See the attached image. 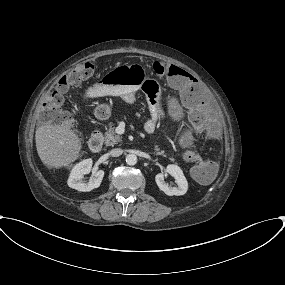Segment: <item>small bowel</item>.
I'll return each mask as SVG.
<instances>
[{
	"instance_id": "c3829d8e",
	"label": "small bowel",
	"mask_w": 285,
	"mask_h": 285,
	"mask_svg": "<svg viewBox=\"0 0 285 285\" xmlns=\"http://www.w3.org/2000/svg\"><path fill=\"white\" fill-rule=\"evenodd\" d=\"M179 84L181 87H184L187 84V78L185 76L180 78ZM141 90V85L137 84H128L119 87L107 88L102 85H95L92 87L87 96L90 98L101 96V95H116L120 96L126 103L133 104L136 99V94ZM147 97V96H146ZM147 103L149 108V118L144 126V131L147 134H151L155 131L156 128V119L157 112L159 108L158 98L147 97ZM170 111L173 114H177L179 109L176 105L170 104ZM209 137H213V134L209 133ZM187 138L190 139V135H187Z\"/></svg>"
}]
</instances>
